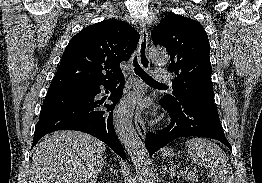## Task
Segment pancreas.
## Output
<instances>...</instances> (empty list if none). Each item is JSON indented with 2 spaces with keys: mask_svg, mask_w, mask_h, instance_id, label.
I'll list each match as a JSON object with an SVG mask.
<instances>
[{
  "mask_svg": "<svg viewBox=\"0 0 262 183\" xmlns=\"http://www.w3.org/2000/svg\"><path fill=\"white\" fill-rule=\"evenodd\" d=\"M188 176V175H187ZM195 176V175H194ZM187 178V177H186ZM188 179V178H187ZM188 180H190V181H193V182H195V181H197V178H196V176H195V178H189Z\"/></svg>",
  "mask_w": 262,
  "mask_h": 183,
  "instance_id": "1",
  "label": "pancreas"
}]
</instances>
